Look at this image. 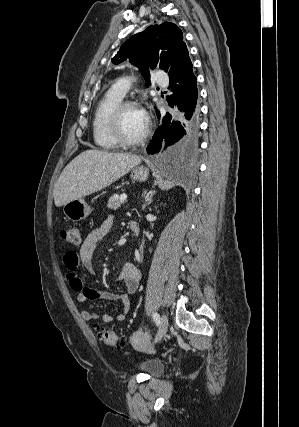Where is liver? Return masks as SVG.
<instances>
[{
  "mask_svg": "<svg viewBox=\"0 0 299 427\" xmlns=\"http://www.w3.org/2000/svg\"><path fill=\"white\" fill-rule=\"evenodd\" d=\"M132 154L86 150L75 157L62 171L54 189L57 207L98 192L141 163Z\"/></svg>",
  "mask_w": 299,
  "mask_h": 427,
  "instance_id": "1",
  "label": "liver"
}]
</instances>
